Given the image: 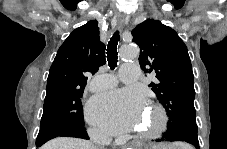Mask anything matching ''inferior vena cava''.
Wrapping results in <instances>:
<instances>
[{
  "mask_svg": "<svg viewBox=\"0 0 227 149\" xmlns=\"http://www.w3.org/2000/svg\"><path fill=\"white\" fill-rule=\"evenodd\" d=\"M91 137L92 139H94L95 141H98L99 143L105 144L110 142V139L108 138V136L98 131H92Z\"/></svg>",
  "mask_w": 227,
  "mask_h": 149,
  "instance_id": "1",
  "label": "inferior vena cava"
}]
</instances>
